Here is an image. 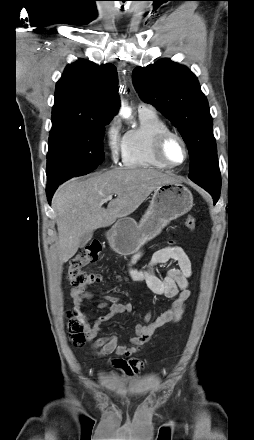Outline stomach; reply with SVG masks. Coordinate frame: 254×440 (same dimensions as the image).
Segmentation results:
<instances>
[{"label":"stomach","instance_id":"stomach-1","mask_svg":"<svg viewBox=\"0 0 254 440\" xmlns=\"http://www.w3.org/2000/svg\"><path fill=\"white\" fill-rule=\"evenodd\" d=\"M192 206V193L181 183L159 185L139 223L123 217L106 233L109 245L120 255H132L156 237L170 221L190 211Z\"/></svg>","mask_w":254,"mask_h":440}]
</instances>
